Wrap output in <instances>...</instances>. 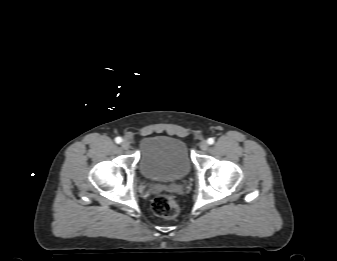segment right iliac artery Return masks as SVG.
<instances>
[{
  "label": "right iliac artery",
  "instance_id": "82829eb1",
  "mask_svg": "<svg viewBox=\"0 0 337 261\" xmlns=\"http://www.w3.org/2000/svg\"><path fill=\"white\" fill-rule=\"evenodd\" d=\"M115 142L118 143V144L121 143L122 142V138L121 137H116L115 138Z\"/></svg>",
  "mask_w": 337,
  "mask_h": 261
}]
</instances>
